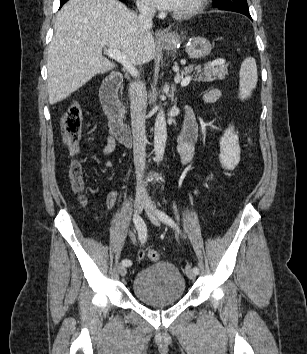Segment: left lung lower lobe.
Instances as JSON below:
<instances>
[{
  "label": "left lung lower lobe",
  "instance_id": "0a47b994",
  "mask_svg": "<svg viewBox=\"0 0 307 354\" xmlns=\"http://www.w3.org/2000/svg\"><path fill=\"white\" fill-rule=\"evenodd\" d=\"M222 9V8H220ZM223 10H229V11H235V12H239L242 13L244 15H246L247 17H249L251 19V16L249 14V11H245V10H236V9H223Z\"/></svg>",
  "mask_w": 307,
  "mask_h": 354
}]
</instances>
